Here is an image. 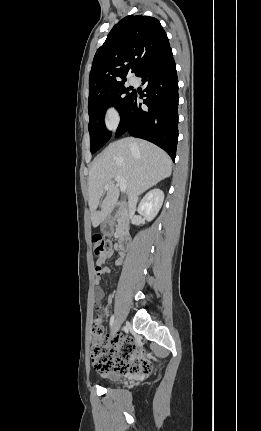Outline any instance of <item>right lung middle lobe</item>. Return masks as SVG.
Returning a JSON list of instances; mask_svg holds the SVG:
<instances>
[{
    "label": "right lung middle lobe",
    "mask_w": 261,
    "mask_h": 431,
    "mask_svg": "<svg viewBox=\"0 0 261 431\" xmlns=\"http://www.w3.org/2000/svg\"><path fill=\"white\" fill-rule=\"evenodd\" d=\"M124 86V81L107 87L103 90L89 94L88 112H89V133H90V150L95 153L110 138L109 132L104 124L105 111L108 107L114 106L120 113L125 110L133 91Z\"/></svg>",
    "instance_id": "1"
}]
</instances>
